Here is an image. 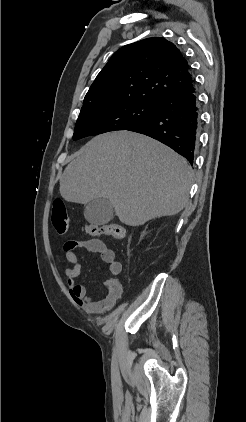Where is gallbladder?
<instances>
[{"label": "gallbladder", "instance_id": "bac80fb5", "mask_svg": "<svg viewBox=\"0 0 246 422\" xmlns=\"http://www.w3.org/2000/svg\"><path fill=\"white\" fill-rule=\"evenodd\" d=\"M85 219L93 225H104L113 219L114 208L106 198H97L87 203Z\"/></svg>", "mask_w": 246, "mask_h": 422}]
</instances>
